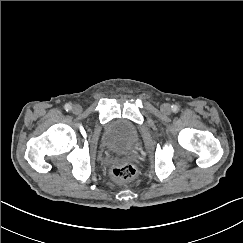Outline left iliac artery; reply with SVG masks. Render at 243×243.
<instances>
[{"instance_id": "1", "label": "left iliac artery", "mask_w": 243, "mask_h": 243, "mask_svg": "<svg viewBox=\"0 0 243 243\" xmlns=\"http://www.w3.org/2000/svg\"><path fill=\"white\" fill-rule=\"evenodd\" d=\"M172 110H173V112H177L178 111V106L177 105H173L172 106Z\"/></svg>"}]
</instances>
